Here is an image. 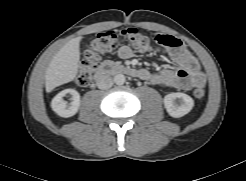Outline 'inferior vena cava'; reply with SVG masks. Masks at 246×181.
<instances>
[{
	"instance_id": "inferior-vena-cava-1",
	"label": "inferior vena cava",
	"mask_w": 246,
	"mask_h": 181,
	"mask_svg": "<svg viewBox=\"0 0 246 181\" xmlns=\"http://www.w3.org/2000/svg\"><path fill=\"white\" fill-rule=\"evenodd\" d=\"M113 85V80L109 75H101L97 79V86L99 89H109Z\"/></svg>"
}]
</instances>
